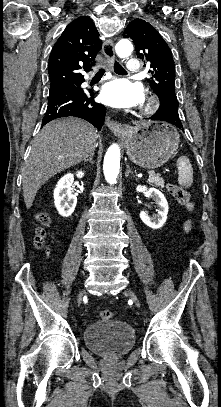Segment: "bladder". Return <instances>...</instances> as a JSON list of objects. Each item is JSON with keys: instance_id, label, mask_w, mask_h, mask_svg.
<instances>
[{"instance_id": "bladder-1", "label": "bladder", "mask_w": 221, "mask_h": 407, "mask_svg": "<svg viewBox=\"0 0 221 407\" xmlns=\"http://www.w3.org/2000/svg\"><path fill=\"white\" fill-rule=\"evenodd\" d=\"M84 342L90 351L114 358L126 354L133 348L135 332L123 321L97 322L85 328Z\"/></svg>"}]
</instances>
